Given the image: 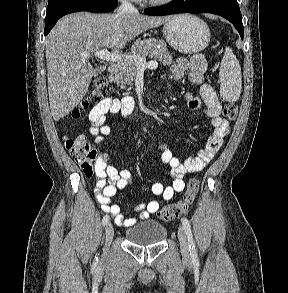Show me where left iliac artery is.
I'll return each instance as SVG.
<instances>
[{
  "instance_id": "44dca946",
  "label": "left iliac artery",
  "mask_w": 288,
  "mask_h": 293,
  "mask_svg": "<svg viewBox=\"0 0 288 293\" xmlns=\"http://www.w3.org/2000/svg\"><path fill=\"white\" fill-rule=\"evenodd\" d=\"M182 223H183L184 230H185V233L188 238L190 255H191L193 261L197 262L198 261L197 250H196L195 242H194V239L192 236L190 223L186 217L182 218Z\"/></svg>"
}]
</instances>
